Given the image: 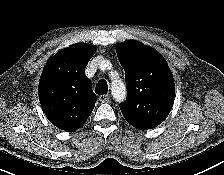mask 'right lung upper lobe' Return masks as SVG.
<instances>
[{
    "label": "right lung upper lobe",
    "instance_id": "obj_1",
    "mask_svg": "<svg viewBox=\"0 0 224 175\" xmlns=\"http://www.w3.org/2000/svg\"><path fill=\"white\" fill-rule=\"evenodd\" d=\"M96 47L78 43L57 52L46 64L39 83V99L48 120L75 131L88 119L96 102L85 68Z\"/></svg>",
    "mask_w": 224,
    "mask_h": 175
}]
</instances>
